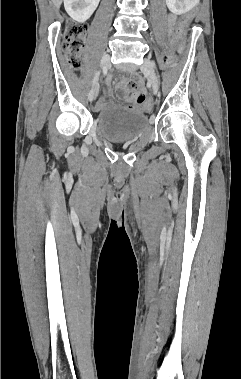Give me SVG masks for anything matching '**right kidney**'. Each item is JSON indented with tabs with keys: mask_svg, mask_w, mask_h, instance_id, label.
<instances>
[{
	"mask_svg": "<svg viewBox=\"0 0 241 379\" xmlns=\"http://www.w3.org/2000/svg\"><path fill=\"white\" fill-rule=\"evenodd\" d=\"M100 0H64V7L69 16L84 23L96 10Z\"/></svg>",
	"mask_w": 241,
	"mask_h": 379,
	"instance_id": "ca27d5eb",
	"label": "right kidney"
}]
</instances>
